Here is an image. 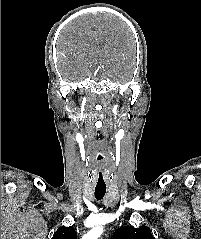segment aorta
Wrapping results in <instances>:
<instances>
[{
  "label": "aorta",
  "mask_w": 201,
  "mask_h": 239,
  "mask_svg": "<svg viewBox=\"0 0 201 239\" xmlns=\"http://www.w3.org/2000/svg\"><path fill=\"white\" fill-rule=\"evenodd\" d=\"M103 232V228L96 227L85 234L82 239H98Z\"/></svg>",
  "instance_id": "aorta-1"
}]
</instances>
